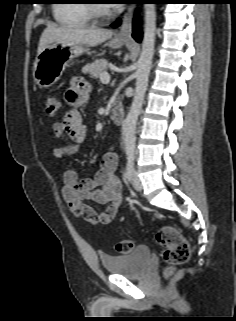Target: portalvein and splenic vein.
Returning <instances> with one entry per match:
<instances>
[{
  "mask_svg": "<svg viewBox=\"0 0 236 321\" xmlns=\"http://www.w3.org/2000/svg\"><path fill=\"white\" fill-rule=\"evenodd\" d=\"M100 81L102 83H108L110 81V75L107 71L100 74Z\"/></svg>",
  "mask_w": 236,
  "mask_h": 321,
  "instance_id": "portal-vein-and-splenic-vein-1",
  "label": "portal vein and splenic vein"
}]
</instances>
